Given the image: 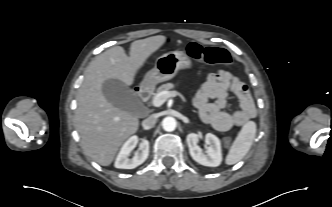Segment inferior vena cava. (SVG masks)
<instances>
[{
	"label": "inferior vena cava",
	"mask_w": 332,
	"mask_h": 207,
	"mask_svg": "<svg viewBox=\"0 0 332 207\" xmlns=\"http://www.w3.org/2000/svg\"><path fill=\"white\" fill-rule=\"evenodd\" d=\"M157 118L154 114L150 115L148 118L143 120L142 126L144 129H151L156 124Z\"/></svg>",
	"instance_id": "obj_1"
}]
</instances>
